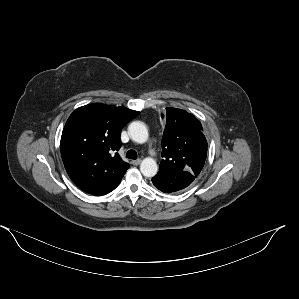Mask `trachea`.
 <instances>
[{
	"instance_id": "3493384b",
	"label": "trachea",
	"mask_w": 299,
	"mask_h": 299,
	"mask_svg": "<svg viewBox=\"0 0 299 299\" xmlns=\"http://www.w3.org/2000/svg\"><path fill=\"white\" fill-rule=\"evenodd\" d=\"M126 157L129 159H137V153L134 150H128L126 153Z\"/></svg>"
}]
</instances>
